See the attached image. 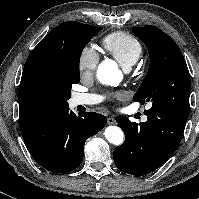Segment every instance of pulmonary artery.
I'll use <instances>...</instances> for the list:
<instances>
[{
    "instance_id": "e3ab8cb5",
    "label": "pulmonary artery",
    "mask_w": 199,
    "mask_h": 199,
    "mask_svg": "<svg viewBox=\"0 0 199 199\" xmlns=\"http://www.w3.org/2000/svg\"><path fill=\"white\" fill-rule=\"evenodd\" d=\"M100 97L95 94H75L70 100V106L76 107L80 105H92L100 101ZM147 120L146 116L142 117V121Z\"/></svg>"
}]
</instances>
